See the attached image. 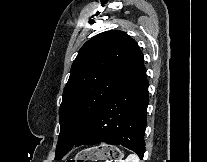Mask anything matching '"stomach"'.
<instances>
[{"label":"stomach","mask_w":207,"mask_h":162,"mask_svg":"<svg viewBox=\"0 0 207 162\" xmlns=\"http://www.w3.org/2000/svg\"><path fill=\"white\" fill-rule=\"evenodd\" d=\"M122 156L120 150L114 146L101 144L78 153L74 160H111ZM82 162V161H79Z\"/></svg>","instance_id":"obj_1"}]
</instances>
